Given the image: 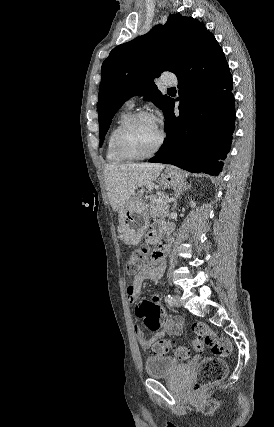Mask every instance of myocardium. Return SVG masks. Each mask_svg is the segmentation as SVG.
<instances>
[{"instance_id": "obj_1", "label": "myocardium", "mask_w": 274, "mask_h": 427, "mask_svg": "<svg viewBox=\"0 0 274 427\" xmlns=\"http://www.w3.org/2000/svg\"><path fill=\"white\" fill-rule=\"evenodd\" d=\"M144 117H149V118L155 119L153 114H151L150 112L138 111L136 113L131 114L127 119H125L119 125V127L115 133L114 146H115L116 150L118 151V153L128 161H142V160L151 159L154 156H156L162 150V148L164 147V145L166 143V131L164 130V128L160 127L161 128V136H160L159 143L157 144L155 149L152 152H150L149 154L138 156V155L132 154L131 152H129L126 149V147L124 145L125 132L135 121H137L140 118H144Z\"/></svg>"}]
</instances>
